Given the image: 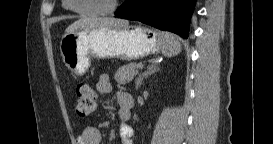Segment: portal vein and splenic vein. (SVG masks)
<instances>
[{"instance_id":"1","label":"portal vein and splenic vein","mask_w":273,"mask_h":144,"mask_svg":"<svg viewBox=\"0 0 273 144\" xmlns=\"http://www.w3.org/2000/svg\"><path fill=\"white\" fill-rule=\"evenodd\" d=\"M143 64L142 63H139L138 65H137V69H142L143 68Z\"/></svg>"}]
</instances>
